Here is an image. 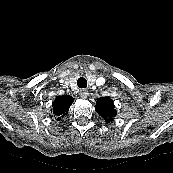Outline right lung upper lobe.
<instances>
[{
  "label": "right lung upper lobe",
  "mask_w": 173,
  "mask_h": 173,
  "mask_svg": "<svg viewBox=\"0 0 173 173\" xmlns=\"http://www.w3.org/2000/svg\"><path fill=\"white\" fill-rule=\"evenodd\" d=\"M72 103H73V98L68 95L58 96L55 99L52 106H53V116L57 121L68 113Z\"/></svg>",
  "instance_id": "cb5924a9"
}]
</instances>
